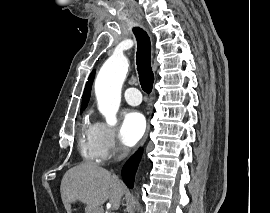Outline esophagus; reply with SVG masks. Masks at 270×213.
I'll return each mask as SVG.
<instances>
[{"label": "esophagus", "instance_id": "obj_1", "mask_svg": "<svg viewBox=\"0 0 270 213\" xmlns=\"http://www.w3.org/2000/svg\"><path fill=\"white\" fill-rule=\"evenodd\" d=\"M149 130H150V125L148 124L146 133H145V135H144V137H143V139H142V141H141V143H140V146L143 145L144 142L146 141V139H147V137H148V134H149Z\"/></svg>", "mask_w": 270, "mask_h": 213}]
</instances>
